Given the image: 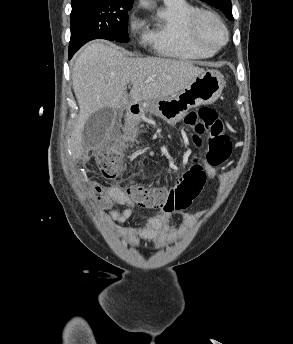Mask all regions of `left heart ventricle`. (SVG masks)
Here are the masks:
<instances>
[{"instance_id":"1","label":"left heart ventricle","mask_w":293,"mask_h":344,"mask_svg":"<svg viewBox=\"0 0 293 344\" xmlns=\"http://www.w3.org/2000/svg\"><path fill=\"white\" fill-rule=\"evenodd\" d=\"M201 35L209 46L218 45L224 38L221 28L211 20L203 21L201 25Z\"/></svg>"}]
</instances>
